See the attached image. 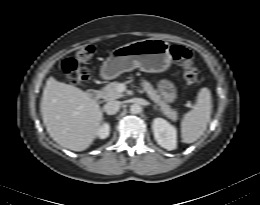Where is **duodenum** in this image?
<instances>
[{
	"label": "duodenum",
	"instance_id": "1",
	"mask_svg": "<svg viewBox=\"0 0 260 205\" xmlns=\"http://www.w3.org/2000/svg\"><path fill=\"white\" fill-rule=\"evenodd\" d=\"M88 98L92 101H96L100 98V92L97 90H90L87 94Z\"/></svg>",
	"mask_w": 260,
	"mask_h": 205
}]
</instances>
